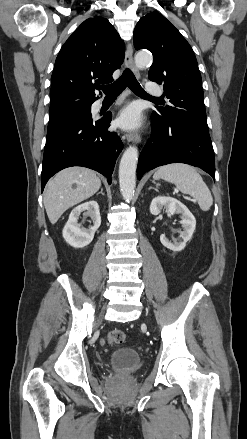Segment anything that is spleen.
Here are the masks:
<instances>
[{
    "label": "spleen",
    "instance_id": "obj_1",
    "mask_svg": "<svg viewBox=\"0 0 247 439\" xmlns=\"http://www.w3.org/2000/svg\"><path fill=\"white\" fill-rule=\"evenodd\" d=\"M153 179H164L174 183L182 193L192 196L202 211H208L213 204L209 188L196 169L190 165L183 163L164 165L154 173Z\"/></svg>",
    "mask_w": 247,
    "mask_h": 439
}]
</instances>
